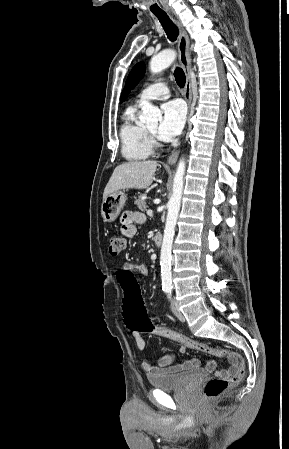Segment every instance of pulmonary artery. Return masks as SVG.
I'll list each match as a JSON object with an SVG mask.
<instances>
[{
    "mask_svg": "<svg viewBox=\"0 0 289 449\" xmlns=\"http://www.w3.org/2000/svg\"><path fill=\"white\" fill-rule=\"evenodd\" d=\"M169 88L163 81H157L146 89L138 96L137 103L148 102L151 100H159L168 97Z\"/></svg>",
    "mask_w": 289,
    "mask_h": 449,
    "instance_id": "1",
    "label": "pulmonary artery"
}]
</instances>
